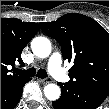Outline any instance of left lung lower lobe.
Segmentation results:
<instances>
[{
    "label": "left lung lower lobe",
    "instance_id": "0a47b994",
    "mask_svg": "<svg viewBox=\"0 0 109 109\" xmlns=\"http://www.w3.org/2000/svg\"><path fill=\"white\" fill-rule=\"evenodd\" d=\"M61 97L52 102L54 109H96L108 96L87 86L69 81L58 83Z\"/></svg>",
    "mask_w": 109,
    "mask_h": 109
}]
</instances>
